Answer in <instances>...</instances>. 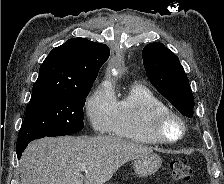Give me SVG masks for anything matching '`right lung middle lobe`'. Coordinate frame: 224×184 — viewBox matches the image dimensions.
Here are the masks:
<instances>
[{
    "instance_id": "1",
    "label": "right lung middle lobe",
    "mask_w": 224,
    "mask_h": 184,
    "mask_svg": "<svg viewBox=\"0 0 224 184\" xmlns=\"http://www.w3.org/2000/svg\"><path fill=\"white\" fill-rule=\"evenodd\" d=\"M91 87L32 91L17 145L45 136H64L83 129V107Z\"/></svg>"
}]
</instances>
